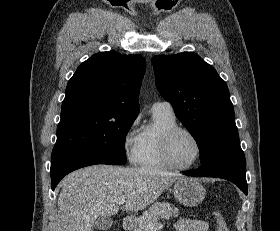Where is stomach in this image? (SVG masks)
I'll use <instances>...</instances> for the list:
<instances>
[{
  "mask_svg": "<svg viewBox=\"0 0 280 231\" xmlns=\"http://www.w3.org/2000/svg\"><path fill=\"white\" fill-rule=\"evenodd\" d=\"M173 193L183 205H188V207H193V205H198L201 203L205 197V187L198 179H193V177H178L174 181Z\"/></svg>",
  "mask_w": 280,
  "mask_h": 231,
  "instance_id": "stomach-1",
  "label": "stomach"
}]
</instances>
